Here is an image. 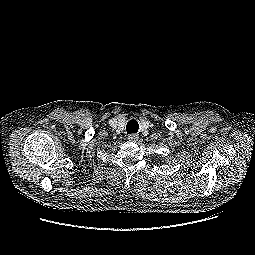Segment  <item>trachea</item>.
<instances>
[{
    "label": "trachea",
    "mask_w": 255,
    "mask_h": 255,
    "mask_svg": "<svg viewBox=\"0 0 255 255\" xmlns=\"http://www.w3.org/2000/svg\"><path fill=\"white\" fill-rule=\"evenodd\" d=\"M138 129H139V124L135 119H131L128 121L126 125V131L128 134L137 133Z\"/></svg>",
    "instance_id": "trachea-1"
}]
</instances>
